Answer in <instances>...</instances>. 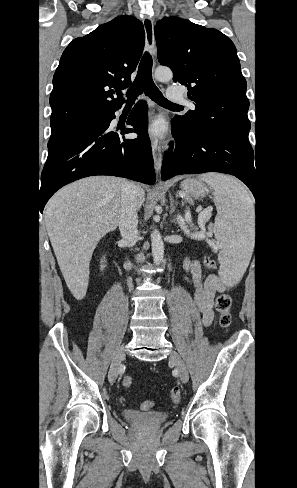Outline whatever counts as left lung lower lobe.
<instances>
[{"label":"left lung lower lobe","instance_id":"0a47b994","mask_svg":"<svg viewBox=\"0 0 297 488\" xmlns=\"http://www.w3.org/2000/svg\"><path fill=\"white\" fill-rule=\"evenodd\" d=\"M172 135L175 151L164 154L162 180L180 174L227 173L244 182L257 200V168L250 144L220 134L187 133L176 119H173Z\"/></svg>","mask_w":297,"mask_h":488}]
</instances>
